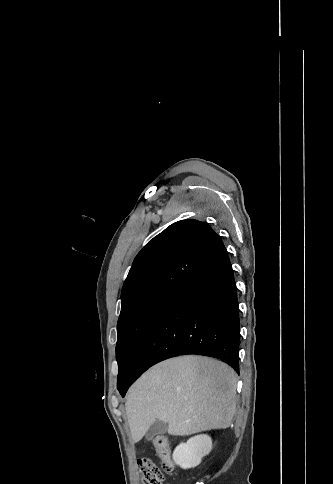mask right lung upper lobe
I'll return each mask as SVG.
<instances>
[{"label":"right lung upper lobe","mask_w":333,"mask_h":484,"mask_svg":"<svg viewBox=\"0 0 333 484\" xmlns=\"http://www.w3.org/2000/svg\"><path fill=\"white\" fill-rule=\"evenodd\" d=\"M227 254L206 223L171 224L138 253L124 282L120 316L153 296L175 291Z\"/></svg>","instance_id":"right-lung-upper-lobe-1"}]
</instances>
